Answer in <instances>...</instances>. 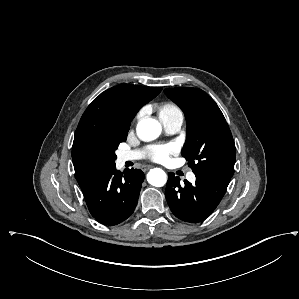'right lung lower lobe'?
Returning a JSON list of instances; mask_svg holds the SVG:
<instances>
[{
  "label": "right lung lower lobe",
  "mask_w": 299,
  "mask_h": 299,
  "mask_svg": "<svg viewBox=\"0 0 299 299\" xmlns=\"http://www.w3.org/2000/svg\"><path fill=\"white\" fill-rule=\"evenodd\" d=\"M144 173L139 169H105L81 187L89 212L100 223L116 225L134 211Z\"/></svg>",
  "instance_id": "obj_1"
}]
</instances>
